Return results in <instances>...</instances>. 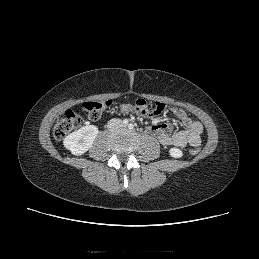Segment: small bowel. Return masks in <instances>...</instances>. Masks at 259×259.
Returning <instances> with one entry per match:
<instances>
[{"instance_id":"c3829d8e","label":"small bowel","mask_w":259,"mask_h":259,"mask_svg":"<svg viewBox=\"0 0 259 259\" xmlns=\"http://www.w3.org/2000/svg\"><path fill=\"white\" fill-rule=\"evenodd\" d=\"M170 110L181 121L184 129L172 132L171 124L154 122L149 127V130L164 146L183 148L190 145L192 147H199L201 144V135L203 133L202 124L199 121L192 119L181 107L171 106Z\"/></svg>"}]
</instances>
